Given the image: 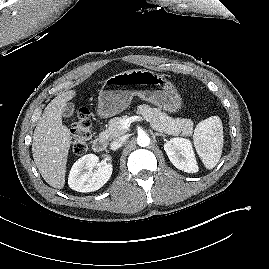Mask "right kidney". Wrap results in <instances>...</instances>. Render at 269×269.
I'll list each match as a JSON object with an SVG mask.
<instances>
[{"instance_id": "ca27d5eb", "label": "right kidney", "mask_w": 269, "mask_h": 269, "mask_svg": "<svg viewBox=\"0 0 269 269\" xmlns=\"http://www.w3.org/2000/svg\"><path fill=\"white\" fill-rule=\"evenodd\" d=\"M98 160L94 154H87L78 159L70 170L69 187L83 193L100 189L110 179L113 166L110 156L106 155L101 163H98ZM94 167L96 170L92 171Z\"/></svg>"}]
</instances>
